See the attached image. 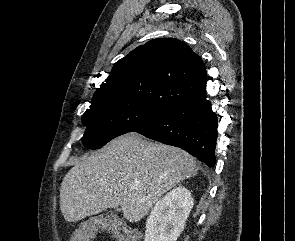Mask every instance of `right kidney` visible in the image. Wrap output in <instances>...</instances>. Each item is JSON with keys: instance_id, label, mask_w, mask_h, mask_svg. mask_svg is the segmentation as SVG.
Wrapping results in <instances>:
<instances>
[{"instance_id": "ca27d5eb", "label": "right kidney", "mask_w": 295, "mask_h": 241, "mask_svg": "<svg viewBox=\"0 0 295 241\" xmlns=\"http://www.w3.org/2000/svg\"><path fill=\"white\" fill-rule=\"evenodd\" d=\"M194 205L189 190L178 186L161 198L146 221L144 241H176Z\"/></svg>"}]
</instances>
